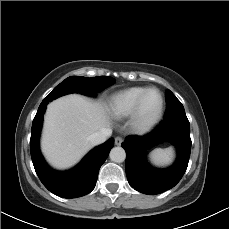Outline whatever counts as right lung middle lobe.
Segmentation results:
<instances>
[{
	"label": "right lung middle lobe",
	"mask_w": 229,
	"mask_h": 229,
	"mask_svg": "<svg viewBox=\"0 0 229 229\" xmlns=\"http://www.w3.org/2000/svg\"><path fill=\"white\" fill-rule=\"evenodd\" d=\"M115 81L114 78L105 76L92 78L71 76L56 86L43 101L51 102L53 99L73 92L96 95L97 91H101L106 87L113 85Z\"/></svg>",
	"instance_id": "1"
}]
</instances>
